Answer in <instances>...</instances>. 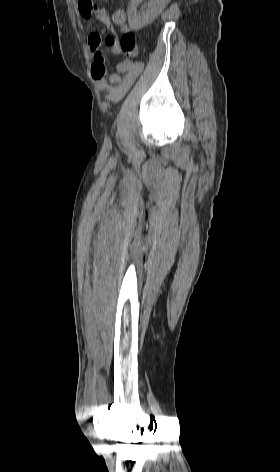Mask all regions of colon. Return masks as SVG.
Here are the masks:
<instances>
[{
	"label": "colon",
	"instance_id": "1",
	"mask_svg": "<svg viewBox=\"0 0 280 472\" xmlns=\"http://www.w3.org/2000/svg\"><path fill=\"white\" fill-rule=\"evenodd\" d=\"M88 7H92L91 1H88ZM120 51L127 58L136 57L138 50L136 44V37L131 31H125L119 41Z\"/></svg>",
	"mask_w": 280,
	"mask_h": 472
}]
</instances>
